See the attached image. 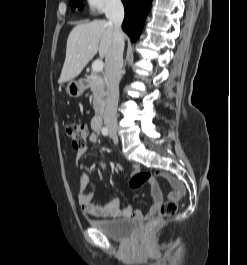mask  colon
<instances>
[{
  "label": "colon",
  "mask_w": 247,
  "mask_h": 265,
  "mask_svg": "<svg viewBox=\"0 0 247 265\" xmlns=\"http://www.w3.org/2000/svg\"><path fill=\"white\" fill-rule=\"evenodd\" d=\"M65 131L67 136L71 139L72 145L76 149L84 148L89 136L87 127L83 124L69 121L65 125ZM157 177H167L163 173L152 174L150 172H137L134 174L129 182V186L132 189H138L146 184L150 187L157 184ZM178 208V201L175 199H169L165 201L159 210V214L151 218L145 225L144 230L150 232L158 228L163 219L173 216Z\"/></svg>",
  "instance_id": "1"
}]
</instances>
